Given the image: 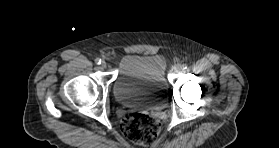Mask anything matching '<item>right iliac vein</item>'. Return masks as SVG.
Returning a JSON list of instances; mask_svg holds the SVG:
<instances>
[{"label": "right iliac vein", "instance_id": "obj_1", "mask_svg": "<svg viewBox=\"0 0 279 148\" xmlns=\"http://www.w3.org/2000/svg\"><path fill=\"white\" fill-rule=\"evenodd\" d=\"M106 67H107L106 62H102V63H101V68L105 69Z\"/></svg>", "mask_w": 279, "mask_h": 148}]
</instances>
